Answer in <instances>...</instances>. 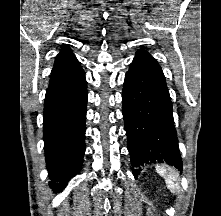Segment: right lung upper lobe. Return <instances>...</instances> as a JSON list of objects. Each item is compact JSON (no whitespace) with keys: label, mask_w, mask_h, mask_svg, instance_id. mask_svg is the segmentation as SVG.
Returning a JSON list of instances; mask_svg holds the SVG:
<instances>
[{"label":"right lung upper lobe","mask_w":221,"mask_h":216,"mask_svg":"<svg viewBox=\"0 0 221 216\" xmlns=\"http://www.w3.org/2000/svg\"><path fill=\"white\" fill-rule=\"evenodd\" d=\"M82 70L80 62L69 47H64L56 56L49 83Z\"/></svg>","instance_id":"right-lung-upper-lobe-1"}]
</instances>
